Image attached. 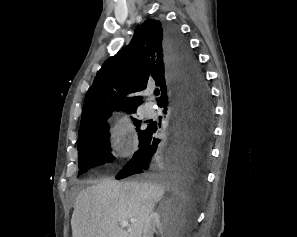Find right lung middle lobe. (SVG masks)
<instances>
[{
  "instance_id": "dd1d6c3e",
  "label": "right lung middle lobe",
  "mask_w": 297,
  "mask_h": 237,
  "mask_svg": "<svg viewBox=\"0 0 297 237\" xmlns=\"http://www.w3.org/2000/svg\"><path fill=\"white\" fill-rule=\"evenodd\" d=\"M133 121L134 125L137 126L139 141L141 142L149 129V125L146 129L141 130L140 126L143 122L135 118ZM109 136V126L106 119L93 124L78 135L79 175L92 166L103 164L115 158L111 154Z\"/></svg>"
}]
</instances>
